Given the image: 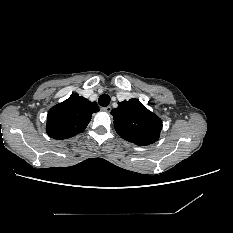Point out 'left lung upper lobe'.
I'll use <instances>...</instances> for the list:
<instances>
[{
  "instance_id": "1",
  "label": "left lung upper lobe",
  "mask_w": 233,
  "mask_h": 233,
  "mask_svg": "<svg viewBox=\"0 0 233 233\" xmlns=\"http://www.w3.org/2000/svg\"><path fill=\"white\" fill-rule=\"evenodd\" d=\"M116 132L125 140L139 146L150 145L159 138L162 121L138 99L118 102L111 111Z\"/></svg>"
}]
</instances>
